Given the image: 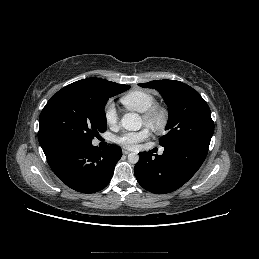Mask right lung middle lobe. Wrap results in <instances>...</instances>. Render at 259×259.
<instances>
[{
	"label": "right lung middle lobe",
	"mask_w": 259,
	"mask_h": 259,
	"mask_svg": "<svg viewBox=\"0 0 259 259\" xmlns=\"http://www.w3.org/2000/svg\"><path fill=\"white\" fill-rule=\"evenodd\" d=\"M130 88L109 82L94 88L65 86L43 108L38 139L42 148L58 140L92 141L106 131L105 105Z\"/></svg>",
	"instance_id": "obj_1"
}]
</instances>
